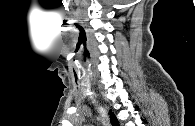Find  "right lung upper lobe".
<instances>
[{
	"instance_id": "right-lung-upper-lobe-1",
	"label": "right lung upper lobe",
	"mask_w": 195,
	"mask_h": 126,
	"mask_svg": "<svg viewBox=\"0 0 195 126\" xmlns=\"http://www.w3.org/2000/svg\"><path fill=\"white\" fill-rule=\"evenodd\" d=\"M109 114H110L112 124L114 126H118L119 125L118 120H117L116 116L114 115V113L110 111Z\"/></svg>"
}]
</instances>
